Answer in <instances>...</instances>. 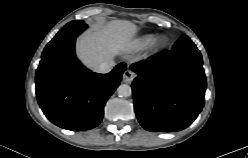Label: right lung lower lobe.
<instances>
[{
	"mask_svg": "<svg viewBox=\"0 0 248 158\" xmlns=\"http://www.w3.org/2000/svg\"><path fill=\"white\" fill-rule=\"evenodd\" d=\"M82 23L63 27L45 47L36 71V96L46 117L72 131L92 129L101 122L104 106L121 81L125 63L108 74L93 73L76 58V37Z\"/></svg>",
	"mask_w": 248,
	"mask_h": 158,
	"instance_id": "98d812e1",
	"label": "right lung lower lobe"
}]
</instances>
